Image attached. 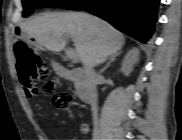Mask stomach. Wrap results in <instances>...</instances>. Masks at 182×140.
<instances>
[{"label": "stomach", "mask_w": 182, "mask_h": 140, "mask_svg": "<svg viewBox=\"0 0 182 140\" xmlns=\"http://www.w3.org/2000/svg\"><path fill=\"white\" fill-rule=\"evenodd\" d=\"M14 30H21V25H14ZM17 41H26L25 31H14Z\"/></svg>", "instance_id": "1"}]
</instances>
